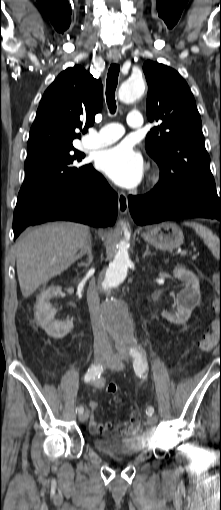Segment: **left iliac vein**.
I'll return each instance as SVG.
<instances>
[{"instance_id":"1","label":"left iliac vein","mask_w":221,"mask_h":510,"mask_svg":"<svg viewBox=\"0 0 221 510\" xmlns=\"http://www.w3.org/2000/svg\"><path fill=\"white\" fill-rule=\"evenodd\" d=\"M123 356L128 357V354H123ZM105 363L110 369L116 371H120L124 367L121 358L114 354L109 355V358ZM147 423L151 426L155 425L157 423V417L155 415H149L147 417Z\"/></svg>"}]
</instances>
